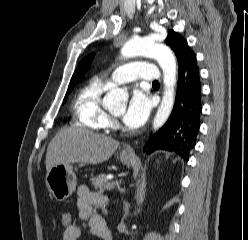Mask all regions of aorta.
<instances>
[{
    "instance_id": "1",
    "label": "aorta",
    "mask_w": 248,
    "mask_h": 240,
    "mask_svg": "<svg viewBox=\"0 0 248 240\" xmlns=\"http://www.w3.org/2000/svg\"><path fill=\"white\" fill-rule=\"evenodd\" d=\"M125 58L144 56L158 61L163 71L164 93L153 121V129L158 130L168 120L175 102L176 59L173 52L152 38H136L128 41L121 49ZM128 94L121 88L111 89L103 99L105 105L116 106L124 102Z\"/></svg>"
}]
</instances>
